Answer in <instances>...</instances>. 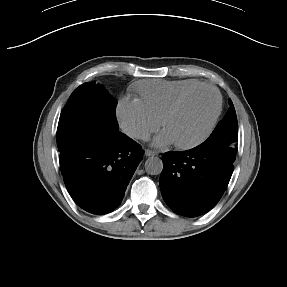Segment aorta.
<instances>
[{"mask_svg": "<svg viewBox=\"0 0 287 287\" xmlns=\"http://www.w3.org/2000/svg\"><path fill=\"white\" fill-rule=\"evenodd\" d=\"M145 170L150 175H158L163 170V163L159 157H150L145 162Z\"/></svg>", "mask_w": 287, "mask_h": 287, "instance_id": "aorta-1", "label": "aorta"}]
</instances>
